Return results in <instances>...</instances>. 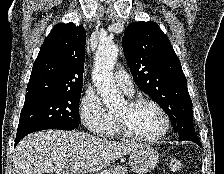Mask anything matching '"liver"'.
Masks as SVG:
<instances>
[{
    "instance_id": "1",
    "label": "liver",
    "mask_w": 224,
    "mask_h": 174,
    "mask_svg": "<svg viewBox=\"0 0 224 174\" xmlns=\"http://www.w3.org/2000/svg\"><path fill=\"white\" fill-rule=\"evenodd\" d=\"M140 145L109 141L82 132L39 131L27 135L16 146L14 171L15 174L97 173Z\"/></svg>"
}]
</instances>
